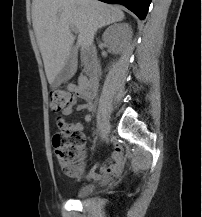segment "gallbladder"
Returning <instances> with one entry per match:
<instances>
[{"label":"gallbladder","mask_w":202,"mask_h":217,"mask_svg":"<svg viewBox=\"0 0 202 217\" xmlns=\"http://www.w3.org/2000/svg\"><path fill=\"white\" fill-rule=\"evenodd\" d=\"M77 70V57L74 50L71 51L63 69L56 76L55 80L52 82V87H58L60 84L67 82L71 79Z\"/></svg>","instance_id":"gallbladder-1"}]
</instances>
